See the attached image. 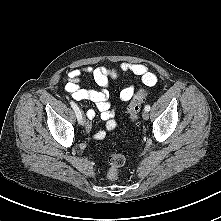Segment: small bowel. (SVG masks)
I'll return each instance as SVG.
<instances>
[{
	"label": "small bowel",
	"mask_w": 221,
	"mask_h": 221,
	"mask_svg": "<svg viewBox=\"0 0 221 221\" xmlns=\"http://www.w3.org/2000/svg\"><path fill=\"white\" fill-rule=\"evenodd\" d=\"M91 74L99 86V89L83 88L80 82L84 74ZM124 73H131L141 78L146 86H153L156 83V75L149 70L144 64L121 62L116 68L107 69L102 66L87 65L81 68L71 69L67 75L65 83L66 92L75 100H88L95 104L101 118L106 121L105 129L97 131L93 135L94 140H103L107 132L116 128L115 109L109 101L108 86L112 80L118 79ZM135 93V86L128 85L120 91L119 98L121 101H129ZM96 113L93 109L86 112L88 123L86 130L91 129L90 121L94 119Z\"/></svg>",
	"instance_id": "1"
}]
</instances>
